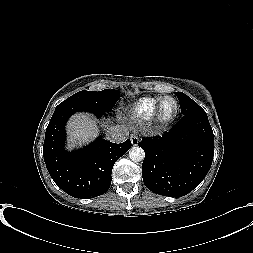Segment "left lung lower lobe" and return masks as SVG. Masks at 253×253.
Masks as SVG:
<instances>
[{
    "instance_id": "left-lung-lower-lobe-1",
    "label": "left lung lower lobe",
    "mask_w": 253,
    "mask_h": 253,
    "mask_svg": "<svg viewBox=\"0 0 253 253\" xmlns=\"http://www.w3.org/2000/svg\"><path fill=\"white\" fill-rule=\"evenodd\" d=\"M142 176L152 192L181 197L207 175L214 152V137L207 114H185L162 136L144 137Z\"/></svg>"
}]
</instances>
